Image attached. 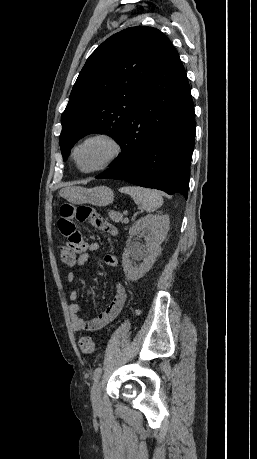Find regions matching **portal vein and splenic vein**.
<instances>
[{"label": "portal vein and splenic vein", "mask_w": 257, "mask_h": 459, "mask_svg": "<svg viewBox=\"0 0 257 459\" xmlns=\"http://www.w3.org/2000/svg\"><path fill=\"white\" fill-rule=\"evenodd\" d=\"M124 214H127V212H124ZM124 222L127 223L128 222V218H125Z\"/></svg>", "instance_id": "18ae733b"}]
</instances>
